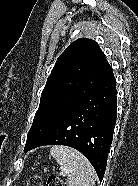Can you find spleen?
Here are the masks:
<instances>
[{"label":"spleen","mask_w":138,"mask_h":186,"mask_svg":"<svg viewBox=\"0 0 138 186\" xmlns=\"http://www.w3.org/2000/svg\"><path fill=\"white\" fill-rule=\"evenodd\" d=\"M50 155L68 171L69 186H93L96 173L90 162L77 150L66 146H53Z\"/></svg>","instance_id":"obj_1"}]
</instances>
